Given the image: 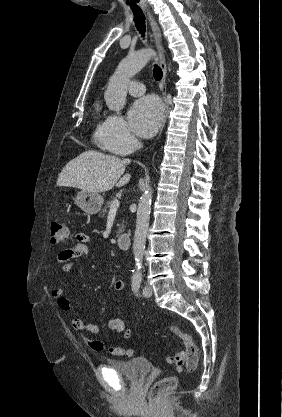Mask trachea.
Listing matches in <instances>:
<instances>
[{"mask_svg": "<svg viewBox=\"0 0 282 417\" xmlns=\"http://www.w3.org/2000/svg\"><path fill=\"white\" fill-rule=\"evenodd\" d=\"M134 14V22L135 26L138 30V32L141 34L142 37L145 36V16L141 10H132ZM153 75L155 80H161L162 79V70L158 65H154L153 68Z\"/></svg>", "mask_w": 282, "mask_h": 417, "instance_id": "1", "label": "trachea"}]
</instances>
